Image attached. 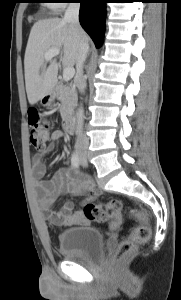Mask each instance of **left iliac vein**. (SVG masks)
Returning a JSON list of instances; mask_svg holds the SVG:
<instances>
[{"label": "left iliac vein", "mask_w": 181, "mask_h": 300, "mask_svg": "<svg viewBox=\"0 0 181 300\" xmlns=\"http://www.w3.org/2000/svg\"><path fill=\"white\" fill-rule=\"evenodd\" d=\"M81 165H82V166H87V160H86V157L81 159Z\"/></svg>", "instance_id": "4c4485c4"}]
</instances>
